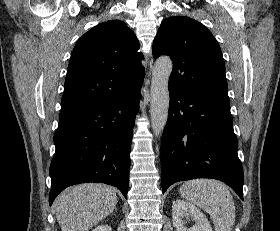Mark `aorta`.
Returning a JSON list of instances; mask_svg holds the SVG:
<instances>
[{
  "label": "aorta",
  "mask_w": 280,
  "mask_h": 231,
  "mask_svg": "<svg viewBox=\"0 0 280 231\" xmlns=\"http://www.w3.org/2000/svg\"><path fill=\"white\" fill-rule=\"evenodd\" d=\"M172 62L168 56H161L154 64L151 82L150 116L153 133L161 135L168 117V82L172 72Z\"/></svg>",
  "instance_id": "obj_1"
}]
</instances>
